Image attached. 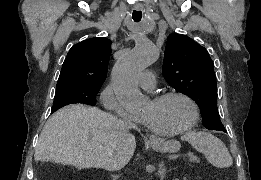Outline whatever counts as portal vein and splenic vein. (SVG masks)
<instances>
[{
	"instance_id": "portal-vein-and-splenic-vein-1",
	"label": "portal vein and splenic vein",
	"mask_w": 261,
	"mask_h": 180,
	"mask_svg": "<svg viewBox=\"0 0 261 180\" xmlns=\"http://www.w3.org/2000/svg\"><path fill=\"white\" fill-rule=\"evenodd\" d=\"M171 157L172 156H170V158ZM198 159H200V156H196V153H188L187 157H186V160H189V161H198Z\"/></svg>"
}]
</instances>
